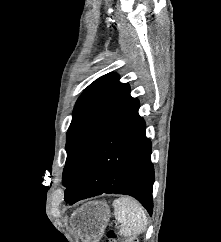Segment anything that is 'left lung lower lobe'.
<instances>
[{
    "label": "left lung lower lobe",
    "mask_w": 221,
    "mask_h": 242,
    "mask_svg": "<svg viewBox=\"0 0 221 242\" xmlns=\"http://www.w3.org/2000/svg\"><path fill=\"white\" fill-rule=\"evenodd\" d=\"M138 109L139 103L89 151L66 187L67 203L72 205L103 193L126 194L135 197L152 214L151 142Z\"/></svg>",
    "instance_id": "obj_1"
}]
</instances>
